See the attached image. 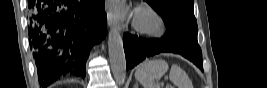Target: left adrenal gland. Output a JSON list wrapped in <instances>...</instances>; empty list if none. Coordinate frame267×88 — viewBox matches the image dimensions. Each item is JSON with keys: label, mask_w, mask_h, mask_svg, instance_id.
<instances>
[{"label": "left adrenal gland", "mask_w": 267, "mask_h": 88, "mask_svg": "<svg viewBox=\"0 0 267 88\" xmlns=\"http://www.w3.org/2000/svg\"><path fill=\"white\" fill-rule=\"evenodd\" d=\"M134 88H138V84L137 83L135 84Z\"/></svg>", "instance_id": "1"}]
</instances>
